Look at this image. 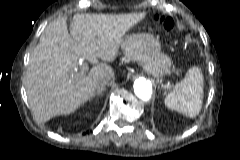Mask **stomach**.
Instances as JSON below:
<instances>
[{
  "label": "stomach",
  "mask_w": 240,
  "mask_h": 160,
  "mask_svg": "<svg viewBox=\"0 0 240 160\" xmlns=\"http://www.w3.org/2000/svg\"><path fill=\"white\" fill-rule=\"evenodd\" d=\"M124 54L129 59L140 60L144 69L156 78L168 74L170 58L161 51L160 42L151 34H133L122 45Z\"/></svg>",
  "instance_id": "1"
}]
</instances>
